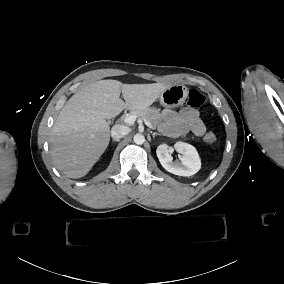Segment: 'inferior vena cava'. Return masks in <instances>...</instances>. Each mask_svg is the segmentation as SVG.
<instances>
[{
    "label": "inferior vena cava",
    "instance_id": "inferior-vena-cava-1",
    "mask_svg": "<svg viewBox=\"0 0 284 284\" xmlns=\"http://www.w3.org/2000/svg\"><path fill=\"white\" fill-rule=\"evenodd\" d=\"M130 128L117 124L112 128L111 136L114 140H121L124 136L129 134Z\"/></svg>",
    "mask_w": 284,
    "mask_h": 284
}]
</instances>
